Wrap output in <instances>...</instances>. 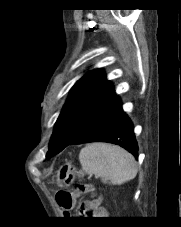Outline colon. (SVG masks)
I'll list each match as a JSON object with an SVG mask.
<instances>
[{
	"instance_id": "obj_1",
	"label": "colon",
	"mask_w": 181,
	"mask_h": 227,
	"mask_svg": "<svg viewBox=\"0 0 181 227\" xmlns=\"http://www.w3.org/2000/svg\"><path fill=\"white\" fill-rule=\"evenodd\" d=\"M94 188L89 184L79 183L72 190H61L56 194L58 204L65 213H69L75 206L77 197L92 192Z\"/></svg>"
}]
</instances>
